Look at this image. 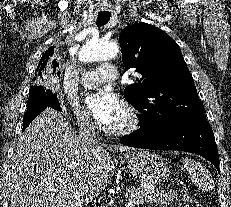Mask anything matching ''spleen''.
I'll use <instances>...</instances> for the list:
<instances>
[{"label":"spleen","mask_w":231,"mask_h":207,"mask_svg":"<svg viewBox=\"0 0 231 207\" xmlns=\"http://www.w3.org/2000/svg\"><path fill=\"white\" fill-rule=\"evenodd\" d=\"M183 165L190 180L194 184H197L205 190H211L213 188V181L209 178L201 163L194 161L191 158H184Z\"/></svg>","instance_id":"1"}]
</instances>
